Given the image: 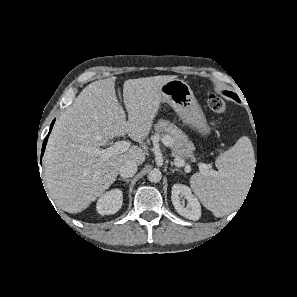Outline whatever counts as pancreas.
<instances>
[{"instance_id":"pancreas-1","label":"pancreas","mask_w":297,"mask_h":297,"mask_svg":"<svg viewBox=\"0 0 297 297\" xmlns=\"http://www.w3.org/2000/svg\"><path fill=\"white\" fill-rule=\"evenodd\" d=\"M154 130L156 131L154 139L159 137V135H162L163 138L167 136L172 156L184 159H189L193 156L194 144L175 124L170 123L168 120L160 119L154 126Z\"/></svg>"}]
</instances>
